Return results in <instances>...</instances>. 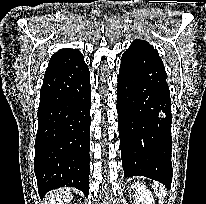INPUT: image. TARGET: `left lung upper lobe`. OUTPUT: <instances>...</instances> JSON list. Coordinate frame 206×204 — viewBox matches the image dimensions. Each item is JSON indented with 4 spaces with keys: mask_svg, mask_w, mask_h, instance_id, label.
Listing matches in <instances>:
<instances>
[{
    "mask_svg": "<svg viewBox=\"0 0 206 204\" xmlns=\"http://www.w3.org/2000/svg\"><path fill=\"white\" fill-rule=\"evenodd\" d=\"M122 57H125L133 68H138L139 64L146 59H154L158 62L161 60L157 50L148 42L140 39L134 40Z\"/></svg>",
    "mask_w": 206,
    "mask_h": 204,
    "instance_id": "obj_1",
    "label": "left lung upper lobe"
}]
</instances>
